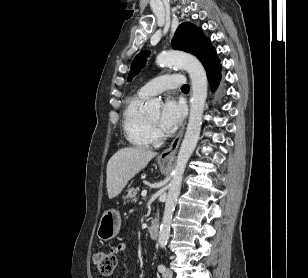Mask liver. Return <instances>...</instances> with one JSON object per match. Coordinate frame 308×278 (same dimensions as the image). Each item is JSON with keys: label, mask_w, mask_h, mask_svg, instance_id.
Wrapping results in <instances>:
<instances>
[{"label": "liver", "mask_w": 308, "mask_h": 278, "mask_svg": "<svg viewBox=\"0 0 308 278\" xmlns=\"http://www.w3.org/2000/svg\"><path fill=\"white\" fill-rule=\"evenodd\" d=\"M156 155V152L142 147L118 150L107 164L106 186L109 199L118 196L128 181L144 169Z\"/></svg>", "instance_id": "1"}]
</instances>
